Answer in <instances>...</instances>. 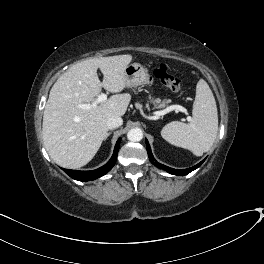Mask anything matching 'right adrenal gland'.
<instances>
[{"label":"right adrenal gland","mask_w":264,"mask_h":264,"mask_svg":"<svg viewBox=\"0 0 264 264\" xmlns=\"http://www.w3.org/2000/svg\"><path fill=\"white\" fill-rule=\"evenodd\" d=\"M110 134H111V132H108V133L106 134V137H105V139H104V140H106V139H107V137H108Z\"/></svg>","instance_id":"right-adrenal-gland-1"}]
</instances>
